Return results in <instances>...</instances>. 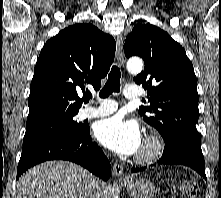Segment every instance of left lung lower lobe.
Returning a JSON list of instances; mask_svg holds the SVG:
<instances>
[{
    "label": "left lung lower lobe",
    "instance_id": "0a47b994",
    "mask_svg": "<svg viewBox=\"0 0 221 198\" xmlns=\"http://www.w3.org/2000/svg\"><path fill=\"white\" fill-rule=\"evenodd\" d=\"M162 165H185L197 171L205 180V161L201 150L200 140L192 138H175L165 141L162 157L158 160ZM146 167H134L131 172L145 170Z\"/></svg>",
    "mask_w": 221,
    "mask_h": 198
}]
</instances>
